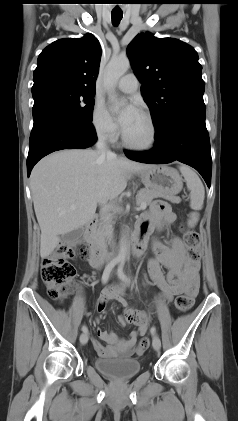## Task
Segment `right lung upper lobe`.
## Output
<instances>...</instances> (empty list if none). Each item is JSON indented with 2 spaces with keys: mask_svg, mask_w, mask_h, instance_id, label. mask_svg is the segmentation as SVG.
<instances>
[{
  "mask_svg": "<svg viewBox=\"0 0 238 421\" xmlns=\"http://www.w3.org/2000/svg\"><path fill=\"white\" fill-rule=\"evenodd\" d=\"M100 58L101 47L93 34L57 40L39 55L33 86L57 82L95 90Z\"/></svg>",
  "mask_w": 238,
  "mask_h": 421,
  "instance_id": "cb5924a9",
  "label": "right lung upper lobe"
}]
</instances>
